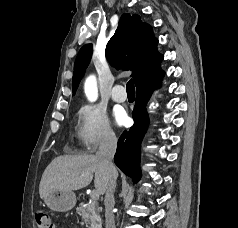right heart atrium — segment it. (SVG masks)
I'll use <instances>...</instances> for the list:
<instances>
[{
  "mask_svg": "<svg viewBox=\"0 0 238 228\" xmlns=\"http://www.w3.org/2000/svg\"><path fill=\"white\" fill-rule=\"evenodd\" d=\"M76 135L86 152H95L100 147L116 143L117 136L104 110L92 104L82 106L77 114Z\"/></svg>",
  "mask_w": 238,
  "mask_h": 228,
  "instance_id": "right-heart-atrium-1",
  "label": "right heart atrium"
}]
</instances>
